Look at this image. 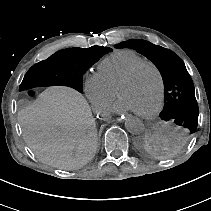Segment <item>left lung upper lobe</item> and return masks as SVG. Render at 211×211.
<instances>
[{"instance_id":"5c2ea615","label":"left lung upper lobe","mask_w":211,"mask_h":211,"mask_svg":"<svg viewBox=\"0 0 211 211\" xmlns=\"http://www.w3.org/2000/svg\"><path fill=\"white\" fill-rule=\"evenodd\" d=\"M125 47L146 56L159 69L165 100L161 119L176 124L182 137L193 134L198 125V104L193 81L181 58L169 49L142 39H130L115 46Z\"/></svg>"}]
</instances>
